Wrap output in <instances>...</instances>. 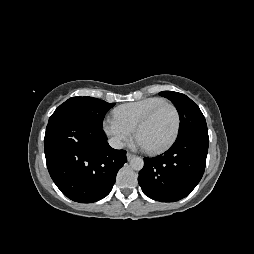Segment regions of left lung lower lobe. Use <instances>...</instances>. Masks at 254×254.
<instances>
[{"label":"left lung lower lobe","mask_w":254,"mask_h":254,"mask_svg":"<svg viewBox=\"0 0 254 254\" xmlns=\"http://www.w3.org/2000/svg\"><path fill=\"white\" fill-rule=\"evenodd\" d=\"M208 145V132H194L178 137L163 154L144 158L138 177L144 194L160 202L190 194L203 176Z\"/></svg>","instance_id":"obj_1"}]
</instances>
